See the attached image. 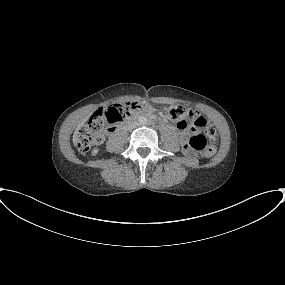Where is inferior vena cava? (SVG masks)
<instances>
[{
    "label": "inferior vena cava",
    "instance_id": "obj_1",
    "mask_svg": "<svg viewBox=\"0 0 285 285\" xmlns=\"http://www.w3.org/2000/svg\"><path fill=\"white\" fill-rule=\"evenodd\" d=\"M137 125H138V123H137V122H131V123H128V125H127V129H128V130H132V129L136 128V127H137Z\"/></svg>",
    "mask_w": 285,
    "mask_h": 285
}]
</instances>
